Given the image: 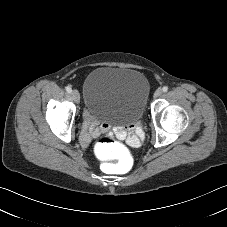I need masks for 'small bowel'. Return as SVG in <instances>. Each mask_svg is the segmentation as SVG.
<instances>
[{
    "label": "small bowel",
    "instance_id": "1",
    "mask_svg": "<svg viewBox=\"0 0 227 227\" xmlns=\"http://www.w3.org/2000/svg\"><path fill=\"white\" fill-rule=\"evenodd\" d=\"M119 138L124 140L127 144L131 146H137L140 143V137L129 133L128 128H121L118 131ZM98 135L97 123L92 118L90 112H86L84 116L83 129L80 134V143L83 146H88L91 138Z\"/></svg>",
    "mask_w": 227,
    "mask_h": 227
}]
</instances>
